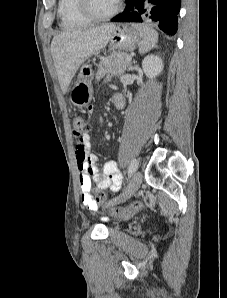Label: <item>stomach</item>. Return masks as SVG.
<instances>
[{
	"mask_svg": "<svg viewBox=\"0 0 227 298\" xmlns=\"http://www.w3.org/2000/svg\"><path fill=\"white\" fill-rule=\"evenodd\" d=\"M142 41L140 32L128 24H119L115 26L109 41V47L118 51H133ZM92 66L88 63L80 68L77 81L70 93L71 102L79 107H85L93 97V88L91 80L93 78Z\"/></svg>",
	"mask_w": 227,
	"mask_h": 298,
	"instance_id": "obj_1",
	"label": "stomach"
}]
</instances>
